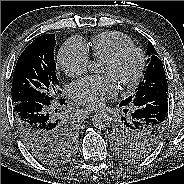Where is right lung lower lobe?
Wrapping results in <instances>:
<instances>
[{
    "label": "right lung lower lobe",
    "instance_id": "right-lung-lower-lobe-1",
    "mask_svg": "<svg viewBox=\"0 0 184 184\" xmlns=\"http://www.w3.org/2000/svg\"><path fill=\"white\" fill-rule=\"evenodd\" d=\"M59 103L64 104L65 99H59ZM55 113L52 103L32 100L14 103L17 129L30 152L55 142L58 131L67 125L65 118Z\"/></svg>",
    "mask_w": 184,
    "mask_h": 184
}]
</instances>
